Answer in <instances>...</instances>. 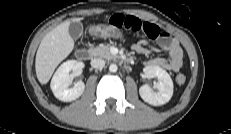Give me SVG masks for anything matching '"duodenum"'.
<instances>
[{"label": "duodenum", "instance_id": "obj_1", "mask_svg": "<svg viewBox=\"0 0 231 134\" xmlns=\"http://www.w3.org/2000/svg\"><path fill=\"white\" fill-rule=\"evenodd\" d=\"M91 53L88 49L86 48H81L76 51V57L81 60V61H86L90 58ZM129 60V59H127Z\"/></svg>", "mask_w": 231, "mask_h": 134}]
</instances>
